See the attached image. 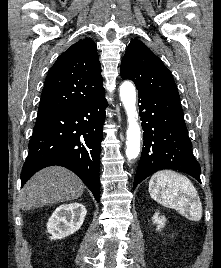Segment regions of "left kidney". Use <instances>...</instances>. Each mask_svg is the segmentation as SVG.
<instances>
[{"mask_svg": "<svg viewBox=\"0 0 221 268\" xmlns=\"http://www.w3.org/2000/svg\"><path fill=\"white\" fill-rule=\"evenodd\" d=\"M153 223L157 224V230H161L166 222V218L164 216H159V212H156L153 216Z\"/></svg>", "mask_w": 221, "mask_h": 268, "instance_id": "obj_1", "label": "left kidney"}]
</instances>
